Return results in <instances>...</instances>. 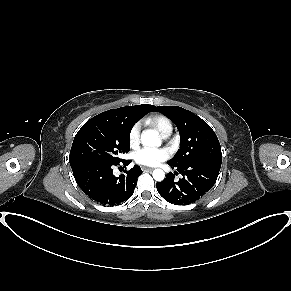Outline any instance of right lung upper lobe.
<instances>
[{"label": "right lung upper lobe", "instance_id": "1", "mask_svg": "<svg viewBox=\"0 0 291 291\" xmlns=\"http://www.w3.org/2000/svg\"><path fill=\"white\" fill-rule=\"evenodd\" d=\"M154 109H155L154 105L143 104V105L121 107L118 109H111L99 115L125 116L128 119L132 120L135 124L140 118H142L144 115H146L148 112Z\"/></svg>", "mask_w": 291, "mask_h": 291}]
</instances>
